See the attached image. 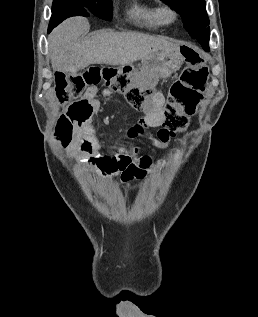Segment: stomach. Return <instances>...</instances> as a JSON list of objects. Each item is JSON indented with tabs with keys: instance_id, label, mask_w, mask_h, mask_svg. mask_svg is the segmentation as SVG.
<instances>
[{
	"instance_id": "obj_1",
	"label": "stomach",
	"mask_w": 258,
	"mask_h": 317,
	"mask_svg": "<svg viewBox=\"0 0 258 317\" xmlns=\"http://www.w3.org/2000/svg\"><path fill=\"white\" fill-rule=\"evenodd\" d=\"M182 44H177L175 48L171 50H157V52H151L148 56L141 58V66L139 68V74H152L157 72L159 76H170L172 72L178 70L181 64H183L184 56L181 52ZM128 66L132 70H136L132 62H129Z\"/></svg>"
}]
</instances>
